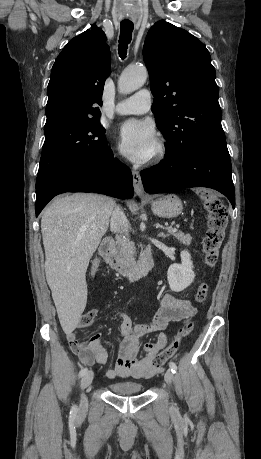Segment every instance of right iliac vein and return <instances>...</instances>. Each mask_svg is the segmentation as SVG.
<instances>
[{
    "mask_svg": "<svg viewBox=\"0 0 261 459\" xmlns=\"http://www.w3.org/2000/svg\"><path fill=\"white\" fill-rule=\"evenodd\" d=\"M94 373L93 371H87L86 374L82 377L81 380V389L84 390L87 388L93 380ZM81 406L85 408L87 406V399L84 393L81 394Z\"/></svg>",
    "mask_w": 261,
    "mask_h": 459,
    "instance_id": "right-iliac-vein-1",
    "label": "right iliac vein"
}]
</instances>
